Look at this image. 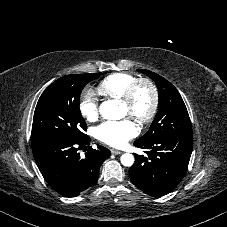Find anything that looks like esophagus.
I'll use <instances>...</instances> for the list:
<instances>
[{
	"instance_id": "esophagus-1",
	"label": "esophagus",
	"mask_w": 227,
	"mask_h": 227,
	"mask_svg": "<svg viewBox=\"0 0 227 227\" xmlns=\"http://www.w3.org/2000/svg\"><path fill=\"white\" fill-rule=\"evenodd\" d=\"M110 151H111L112 154H115V155L122 153L121 151H118V150H115V149H110Z\"/></svg>"
}]
</instances>
